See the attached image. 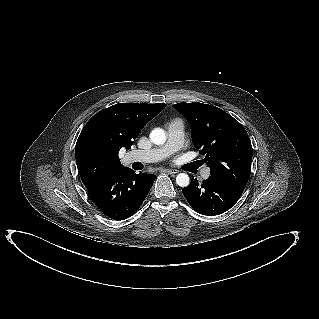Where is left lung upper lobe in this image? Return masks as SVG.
<instances>
[{"label": "left lung upper lobe", "mask_w": 319, "mask_h": 319, "mask_svg": "<svg viewBox=\"0 0 319 319\" xmlns=\"http://www.w3.org/2000/svg\"><path fill=\"white\" fill-rule=\"evenodd\" d=\"M173 107L190 123L193 144L206 155L211 175L245 189L249 180L252 146L244 127L225 111L199 102Z\"/></svg>", "instance_id": "obj_1"}]
</instances>
